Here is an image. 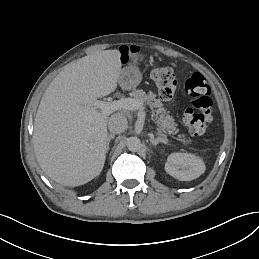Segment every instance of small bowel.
Masks as SVG:
<instances>
[{
  "mask_svg": "<svg viewBox=\"0 0 259 259\" xmlns=\"http://www.w3.org/2000/svg\"><path fill=\"white\" fill-rule=\"evenodd\" d=\"M137 51V48H125L121 50V59L127 61L130 58V56L136 53Z\"/></svg>",
  "mask_w": 259,
  "mask_h": 259,
  "instance_id": "c3829d8e",
  "label": "small bowel"
}]
</instances>
